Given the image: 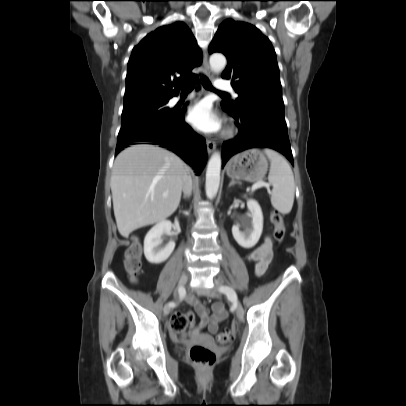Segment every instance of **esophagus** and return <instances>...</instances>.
Returning <instances> with one entry per match:
<instances>
[{
  "label": "esophagus",
  "instance_id": "obj_1",
  "mask_svg": "<svg viewBox=\"0 0 406 406\" xmlns=\"http://www.w3.org/2000/svg\"><path fill=\"white\" fill-rule=\"evenodd\" d=\"M203 67H204L205 75L208 76L209 78H212L213 74H212V70H211V68L209 66L208 56H207L206 53H205L204 59H203ZM206 145H207L208 154H211L216 148V143L214 141H212V140H209V139L206 141Z\"/></svg>",
  "mask_w": 406,
  "mask_h": 406
}]
</instances>
